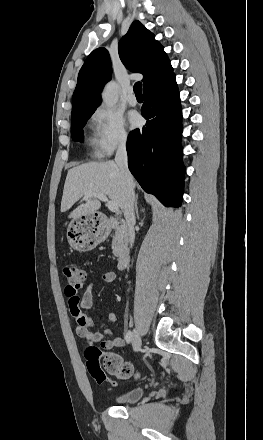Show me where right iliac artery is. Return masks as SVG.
Here are the masks:
<instances>
[{
	"mask_svg": "<svg viewBox=\"0 0 263 440\" xmlns=\"http://www.w3.org/2000/svg\"><path fill=\"white\" fill-rule=\"evenodd\" d=\"M125 340L127 342V344H129L132 340V332L130 330L127 331L126 335H125Z\"/></svg>",
	"mask_w": 263,
	"mask_h": 440,
	"instance_id": "1",
	"label": "right iliac artery"
}]
</instances>
